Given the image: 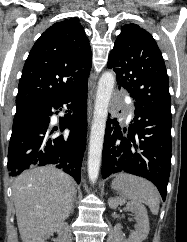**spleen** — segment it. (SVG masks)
Here are the masks:
<instances>
[{"mask_svg":"<svg viewBox=\"0 0 187 242\" xmlns=\"http://www.w3.org/2000/svg\"><path fill=\"white\" fill-rule=\"evenodd\" d=\"M112 187L132 201L146 204L154 215L158 214L160 194L157 188L146 179L121 173L114 179Z\"/></svg>","mask_w":187,"mask_h":242,"instance_id":"3e777b00","label":"spleen"}]
</instances>
